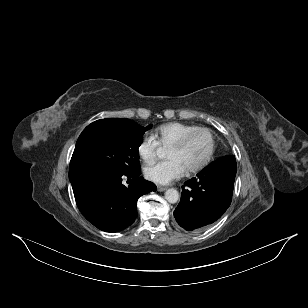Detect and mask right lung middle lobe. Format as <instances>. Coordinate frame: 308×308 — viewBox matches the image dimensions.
Returning a JSON list of instances; mask_svg holds the SVG:
<instances>
[{
  "mask_svg": "<svg viewBox=\"0 0 308 308\" xmlns=\"http://www.w3.org/2000/svg\"><path fill=\"white\" fill-rule=\"evenodd\" d=\"M151 125H101L85 128L73 152L69 177L85 173L106 176L130 174L140 170L138 148Z\"/></svg>",
  "mask_w": 308,
  "mask_h": 308,
  "instance_id": "obj_1",
  "label": "right lung middle lobe"
}]
</instances>
